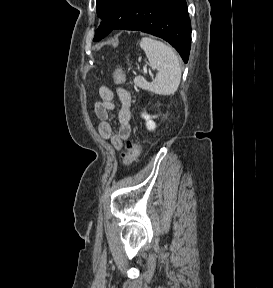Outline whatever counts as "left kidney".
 <instances>
[{
	"label": "left kidney",
	"mask_w": 273,
	"mask_h": 288,
	"mask_svg": "<svg viewBox=\"0 0 273 288\" xmlns=\"http://www.w3.org/2000/svg\"><path fill=\"white\" fill-rule=\"evenodd\" d=\"M142 117L146 120V127L148 130L153 131L156 128L155 122L152 120V118H155V116H150L146 113H142Z\"/></svg>",
	"instance_id": "5707ae66"
}]
</instances>
